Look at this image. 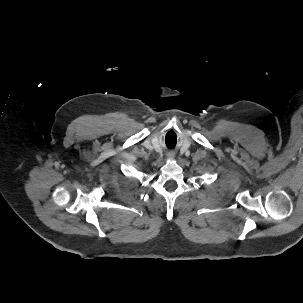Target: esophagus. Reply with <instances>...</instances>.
Returning a JSON list of instances; mask_svg holds the SVG:
<instances>
[{"instance_id":"34e87169","label":"esophagus","mask_w":303,"mask_h":303,"mask_svg":"<svg viewBox=\"0 0 303 303\" xmlns=\"http://www.w3.org/2000/svg\"><path fill=\"white\" fill-rule=\"evenodd\" d=\"M167 157H168L169 159H174V158H175V154L172 153V152H170V153L167 154Z\"/></svg>"}]
</instances>
